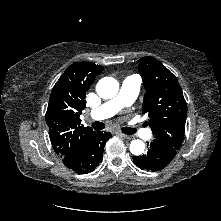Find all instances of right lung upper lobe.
<instances>
[{"label": "right lung upper lobe", "mask_w": 221, "mask_h": 221, "mask_svg": "<svg viewBox=\"0 0 221 221\" xmlns=\"http://www.w3.org/2000/svg\"><path fill=\"white\" fill-rule=\"evenodd\" d=\"M102 66L90 62L70 65L52 89L46 112L49 137L54 151L62 158L84 150L95 132L81 125L80 115L86 107V92Z\"/></svg>", "instance_id": "1"}]
</instances>
